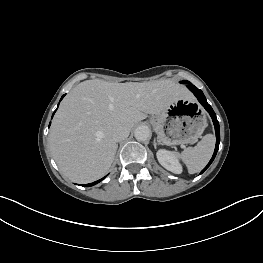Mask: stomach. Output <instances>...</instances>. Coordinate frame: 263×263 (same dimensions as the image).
<instances>
[{
  "label": "stomach",
  "mask_w": 263,
  "mask_h": 263,
  "mask_svg": "<svg viewBox=\"0 0 263 263\" xmlns=\"http://www.w3.org/2000/svg\"><path fill=\"white\" fill-rule=\"evenodd\" d=\"M157 138L165 145L187 144L197 140L207 126V118L198 103L181 98L150 119Z\"/></svg>",
  "instance_id": "obj_1"
}]
</instances>
